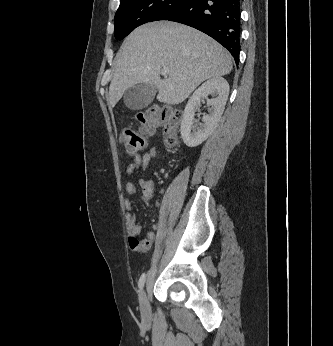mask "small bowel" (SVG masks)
<instances>
[{
  "label": "small bowel",
  "instance_id": "small-bowel-1",
  "mask_svg": "<svg viewBox=\"0 0 333 346\" xmlns=\"http://www.w3.org/2000/svg\"><path fill=\"white\" fill-rule=\"evenodd\" d=\"M157 157V151L155 148L150 149L144 154H137L134 156L133 161L127 166V175L132 176L138 170L147 171L151 165L154 158ZM140 185L143 189V201L145 203H150L154 194V184L151 181L141 180ZM136 186L132 182L126 184V192L129 195L136 194ZM125 208L129 211L126 217V227L129 234V239H127V246H130V250H133L134 254H149L150 247L153 244L156 234L155 230L157 225H153V231H150L147 236L143 239L140 238L141 226L138 222L136 216L131 212L133 209V203L130 200H125Z\"/></svg>",
  "mask_w": 333,
  "mask_h": 346
}]
</instances>
